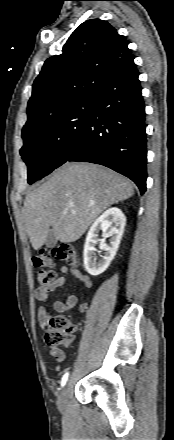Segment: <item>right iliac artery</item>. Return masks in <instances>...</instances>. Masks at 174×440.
Wrapping results in <instances>:
<instances>
[{
  "label": "right iliac artery",
  "mask_w": 174,
  "mask_h": 440,
  "mask_svg": "<svg viewBox=\"0 0 174 440\" xmlns=\"http://www.w3.org/2000/svg\"><path fill=\"white\" fill-rule=\"evenodd\" d=\"M68 373H66L63 377H62V380H61V386L63 387L65 384H66V382H67V380H68Z\"/></svg>",
  "instance_id": "obj_1"
}]
</instances>
